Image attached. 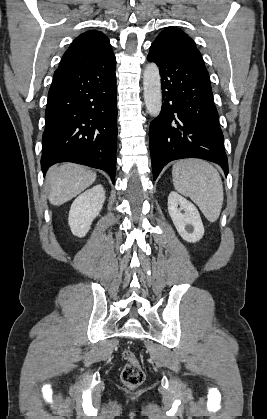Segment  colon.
Listing matches in <instances>:
<instances>
[{"label":"colon","mask_w":267,"mask_h":419,"mask_svg":"<svg viewBox=\"0 0 267 419\" xmlns=\"http://www.w3.org/2000/svg\"><path fill=\"white\" fill-rule=\"evenodd\" d=\"M122 356L125 360V365L121 372L122 382L130 388L140 386L145 379V373L137 357L129 349H125Z\"/></svg>","instance_id":"colon-1"}]
</instances>
